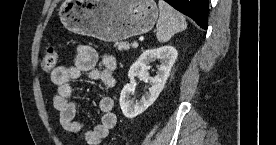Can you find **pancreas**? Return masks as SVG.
<instances>
[{
  "instance_id": "obj_1",
  "label": "pancreas",
  "mask_w": 276,
  "mask_h": 145,
  "mask_svg": "<svg viewBox=\"0 0 276 145\" xmlns=\"http://www.w3.org/2000/svg\"><path fill=\"white\" fill-rule=\"evenodd\" d=\"M115 46L118 48V50L122 51V50H129L130 49V44L129 42H119L116 43Z\"/></svg>"
}]
</instances>
